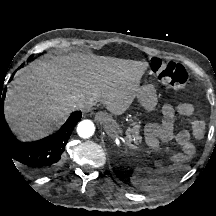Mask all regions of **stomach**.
Listing matches in <instances>:
<instances>
[{
  "label": "stomach",
  "mask_w": 216,
  "mask_h": 216,
  "mask_svg": "<svg viewBox=\"0 0 216 216\" xmlns=\"http://www.w3.org/2000/svg\"><path fill=\"white\" fill-rule=\"evenodd\" d=\"M137 101L147 111L152 112L157 106V95L156 90L152 85H143L139 87L137 93ZM107 133L111 138L122 135V131L106 127Z\"/></svg>",
  "instance_id": "0dacf381"
}]
</instances>
